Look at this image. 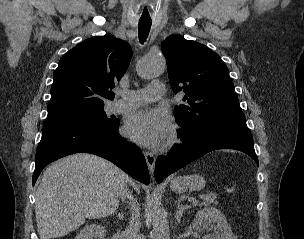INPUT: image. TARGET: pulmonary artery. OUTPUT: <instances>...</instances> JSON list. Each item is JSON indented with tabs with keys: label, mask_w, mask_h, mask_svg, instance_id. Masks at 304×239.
<instances>
[{
	"label": "pulmonary artery",
	"mask_w": 304,
	"mask_h": 239,
	"mask_svg": "<svg viewBox=\"0 0 304 239\" xmlns=\"http://www.w3.org/2000/svg\"><path fill=\"white\" fill-rule=\"evenodd\" d=\"M165 86L161 82H154L148 87L140 90L120 91L121 99L111 103V112L117 113L156 101L163 97Z\"/></svg>",
	"instance_id": "1"
}]
</instances>
